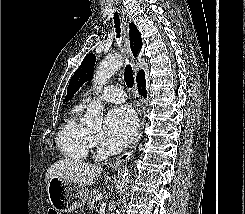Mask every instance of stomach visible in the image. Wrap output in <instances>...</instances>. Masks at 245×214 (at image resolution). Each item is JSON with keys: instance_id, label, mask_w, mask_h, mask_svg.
Masks as SVG:
<instances>
[{"instance_id": "0dacf381", "label": "stomach", "mask_w": 245, "mask_h": 214, "mask_svg": "<svg viewBox=\"0 0 245 214\" xmlns=\"http://www.w3.org/2000/svg\"><path fill=\"white\" fill-rule=\"evenodd\" d=\"M52 207L58 212H71L82 208L88 197V189L73 182L52 177L47 184Z\"/></svg>"}]
</instances>
